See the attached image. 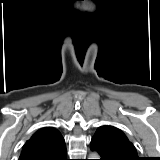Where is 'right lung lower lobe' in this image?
Returning <instances> with one entry per match:
<instances>
[{
    "label": "right lung lower lobe",
    "mask_w": 160,
    "mask_h": 160,
    "mask_svg": "<svg viewBox=\"0 0 160 160\" xmlns=\"http://www.w3.org/2000/svg\"><path fill=\"white\" fill-rule=\"evenodd\" d=\"M53 160H68L66 150L63 151L62 154H60L58 157L54 158Z\"/></svg>",
    "instance_id": "98d812e1"
}]
</instances>
